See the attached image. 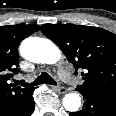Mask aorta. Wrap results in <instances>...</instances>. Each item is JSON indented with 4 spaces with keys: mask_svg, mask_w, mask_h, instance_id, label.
<instances>
[{
    "mask_svg": "<svg viewBox=\"0 0 116 116\" xmlns=\"http://www.w3.org/2000/svg\"><path fill=\"white\" fill-rule=\"evenodd\" d=\"M20 54L23 58L42 64H54L61 58V51L49 39L29 37L20 45ZM81 98L77 93H69L63 98V106L69 112L78 111Z\"/></svg>",
    "mask_w": 116,
    "mask_h": 116,
    "instance_id": "762f6f07",
    "label": "aorta"
}]
</instances>
